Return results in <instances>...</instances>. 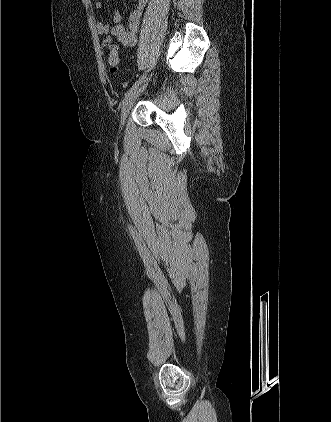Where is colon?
I'll return each instance as SVG.
<instances>
[{
	"mask_svg": "<svg viewBox=\"0 0 331 422\" xmlns=\"http://www.w3.org/2000/svg\"><path fill=\"white\" fill-rule=\"evenodd\" d=\"M108 66L111 72H116L119 67V57L116 53H110L108 56Z\"/></svg>",
	"mask_w": 331,
	"mask_h": 422,
	"instance_id": "5ec220e1",
	"label": "colon"
}]
</instances>
